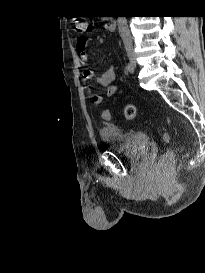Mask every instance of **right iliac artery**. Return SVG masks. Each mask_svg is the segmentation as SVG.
Segmentation results:
<instances>
[{
  "instance_id": "right-iliac-artery-1",
  "label": "right iliac artery",
  "mask_w": 205,
  "mask_h": 273,
  "mask_svg": "<svg viewBox=\"0 0 205 273\" xmlns=\"http://www.w3.org/2000/svg\"><path fill=\"white\" fill-rule=\"evenodd\" d=\"M126 69H127V71H128L129 73H133V72H134V67L132 66L131 63H128V64H127Z\"/></svg>"
}]
</instances>
